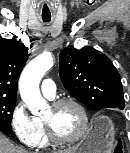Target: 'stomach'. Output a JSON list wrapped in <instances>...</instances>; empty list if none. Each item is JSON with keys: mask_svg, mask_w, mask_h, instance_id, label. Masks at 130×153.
Returning <instances> with one entry per match:
<instances>
[{"mask_svg": "<svg viewBox=\"0 0 130 153\" xmlns=\"http://www.w3.org/2000/svg\"><path fill=\"white\" fill-rule=\"evenodd\" d=\"M114 126L105 117L98 119L72 153H110L114 141Z\"/></svg>", "mask_w": 130, "mask_h": 153, "instance_id": "0dacf381", "label": "stomach"}]
</instances>
